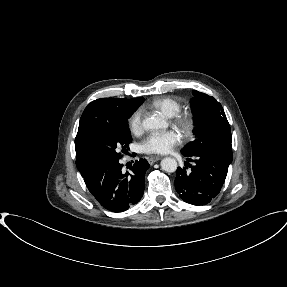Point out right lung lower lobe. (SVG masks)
<instances>
[{
	"mask_svg": "<svg viewBox=\"0 0 287 287\" xmlns=\"http://www.w3.org/2000/svg\"><path fill=\"white\" fill-rule=\"evenodd\" d=\"M117 160L102 162L91 168L83 177L96 200L112 212H123L138 203L144 193L145 172L149 168L146 159L135 161L131 172H122Z\"/></svg>",
	"mask_w": 287,
	"mask_h": 287,
	"instance_id": "1",
	"label": "right lung lower lobe"
}]
</instances>
